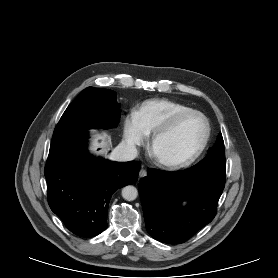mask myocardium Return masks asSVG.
<instances>
[{
    "label": "myocardium",
    "mask_w": 278,
    "mask_h": 278,
    "mask_svg": "<svg viewBox=\"0 0 278 278\" xmlns=\"http://www.w3.org/2000/svg\"><path fill=\"white\" fill-rule=\"evenodd\" d=\"M191 115H197L200 116L205 123V134L204 137L198 146V148L189 156L182 158V159H175V160H169V159H164L161 158L157 153H156V145L157 143L167 135H169L171 132L175 130V128L179 125V123L185 119L186 117H189ZM211 137V125L208 117L202 113L201 111L198 110H188L181 112L174 116L171 120H169L166 124L158 128L153 132V135L151 137L150 145H149V152L153 160L161 167L166 168V169H180L187 167L194 163L204 152L206 149L209 140Z\"/></svg>",
    "instance_id": "1"
}]
</instances>
